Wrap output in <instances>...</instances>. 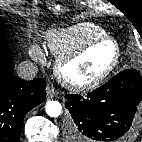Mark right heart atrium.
I'll list each match as a JSON object with an SVG mask.
<instances>
[{
  "label": "right heart atrium",
  "mask_w": 142,
  "mask_h": 142,
  "mask_svg": "<svg viewBox=\"0 0 142 142\" xmlns=\"http://www.w3.org/2000/svg\"><path fill=\"white\" fill-rule=\"evenodd\" d=\"M30 54H31L32 58H34L35 60H38V61L44 60V55H43L42 51L39 49V47H37V46H33L31 48Z\"/></svg>",
  "instance_id": "1"
}]
</instances>
